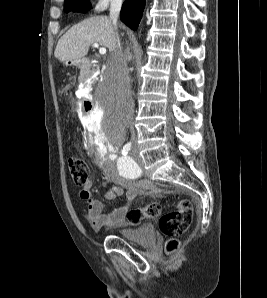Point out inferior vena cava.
<instances>
[{"mask_svg":"<svg viewBox=\"0 0 267 298\" xmlns=\"http://www.w3.org/2000/svg\"><path fill=\"white\" fill-rule=\"evenodd\" d=\"M123 0H111L110 20L116 27ZM128 56L123 54L119 37L108 61V70L116 79V109L123 120L133 128V102L130 90L129 71L127 67Z\"/></svg>","mask_w":267,"mask_h":298,"instance_id":"1","label":"inferior vena cava"}]
</instances>
